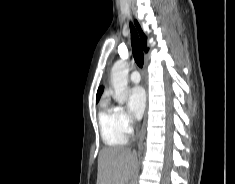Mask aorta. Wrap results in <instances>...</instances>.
<instances>
[{
	"mask_svg": "<svg viewBox=\"0 0 235 184\" xmlns=\"http://www.w3.org/2000/svg\"><path fill=\"white\" fill-rule=\"evenodd\" d=\"M128 72L129 66L127 62H123V60L115 62L111 70L110 78L115 90V96H113V98L118 104H125L129 96L127 80Z\"/></svg>",
	"mask_w": 235,
	"mask_h": 184,
	"instance_id": "aorta-1",
	"label": "aorta"
}]
</instances>
